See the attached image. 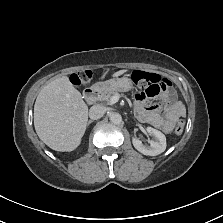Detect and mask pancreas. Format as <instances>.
I'll use <instances>...</instances> for the list:
<instances>
[{
    "instance_id": "pancreas-1",
    "label": "pancreas",
    "mask_w": 223,
    "mask_h": 223,
    "mask_svg": "<svg viewBox=\"0 0 223 223\" xmlns=\"http://www.w3.org/2000/svg\"><path fill=\"white\" fill-rule=\"evenodd\" d=\"M116 94H119V93H116ZM116 94L114 93V94H110V95L104 96V97H102V100L107 102V103H110L111 97L116 95Z\"/></svg>"
}]
</instances>
